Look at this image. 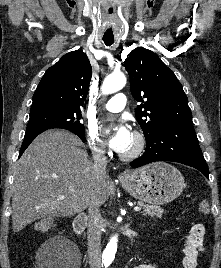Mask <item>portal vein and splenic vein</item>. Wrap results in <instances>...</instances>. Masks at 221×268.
<instances>
[{
	"mask_svg": "<svg viewBox=\"0 0 221 268\" xmlns=\"http://www.w3.org/2000/svg\"><path fill=\"white\" fill-rule=\"evenodd\" d=\"M62 199H64V196H61V197H59V200H62ZM134 211H136V212H138V211H141V207H134Z\"/></svg>",
	"mask_w": 221,
	"mask_h": 268,
	"instance_id": "obj_1",
	"label": "portal vein and splenic vein"
}]
</instances>
